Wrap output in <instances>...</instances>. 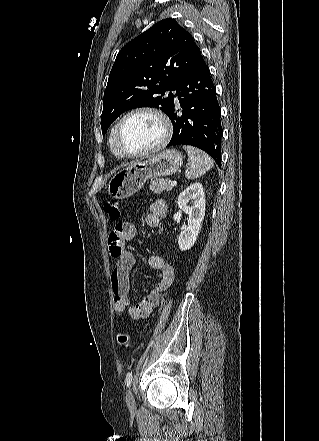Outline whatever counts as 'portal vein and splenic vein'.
<instances>
[{
	"label": "portal vein and splenic vein",
	"instance_id": "portal-vein-and-splenic-vein-1",
	"mask_svg": "<svg viewBox=\"0 0 319 441\" xmlns=\"http://www.w3.org/2000/svg\"><path fill=\"white\" fill-rule=\"evenodd\" d=\"M170 185L171 186H176L177 185V181H170Z\"/></svg>",
	"mask_w": 319,
	"mask_h": 441
}]
</instances>
